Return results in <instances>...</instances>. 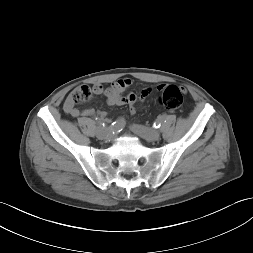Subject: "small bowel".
<instances>
[{"mask_svg": "<svg viewBox=\"0 0 253 253\" xmlns=\"http://www.w3.org/2000/svg\"><path fill=\"white\" fill-rule=\"evenodd\" d=\"M132 84V81L129 78H122L114 82L110 87L104 88L102 84H95L92 87V90L95 94L100 95L104 94L109 105H128L130 112H135V103L139 99H144L150 93V89L143 90L140 95L130 93L123 95L122 93ZM71 95V94H70ZM70 95L68 96L66 103L64 105V111L73 118H77L80 115L91 117L95 114L93 109L79 110L75 106L70 104ZM100 120H107L106 113L100 111L98 113Z\"/></svg>", "mask_w": 253, "mask_h": 253, "instance_id": "small-bowel-1", "label": "small bowel"}]
</instances>
